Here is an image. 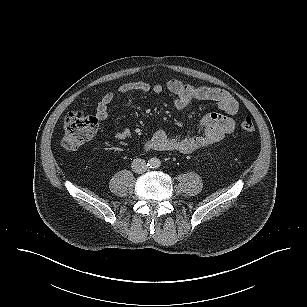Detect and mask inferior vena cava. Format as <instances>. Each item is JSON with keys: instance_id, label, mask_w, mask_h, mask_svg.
Returning <instances> with one entry per match:
<instances>
[{"instance_id": "obj_1", "label": "inferior vena cava", "mask_w": 307, "mask_h": 307, "mask_svg": "<svg viewBox=\"0 0 307 307\" xmlns=\"http://www.w3.org/2000/svg\"><path fill=\"white\" fill-rule=\"evenodd\" d=\"M131 168L135 173H144L148 166L146 164V161L144 159L141 158H136L133 160L132 164H131Z\"/></svg>"}]
</instances>
